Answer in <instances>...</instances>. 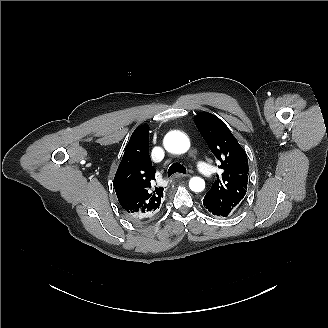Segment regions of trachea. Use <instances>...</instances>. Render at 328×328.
<instances>
[{
  "label": "trachea",
  "instance_id": "trachea-1",
  "mask_svg": "<svg viewBox=\"0 0 328 328\" xmlns=\"http://www.w3.org/2000/svg\"><path fill=\"white\" fill-rule=\"evenodd\" d=\"M176 172L185 174L187 173V170L182 164L173 163L168 169V177H170L172 174H175Z\"/></svg>",
  "mask_w": 328,
  "mask_h": 328
}]
</instances>
